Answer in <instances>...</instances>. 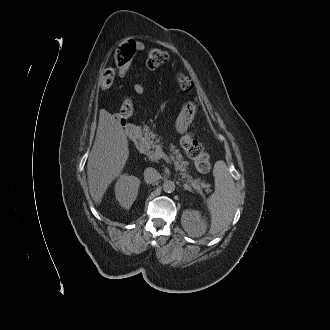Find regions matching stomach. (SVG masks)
Instances as JSON below:
<instances>
[{
	"instance_id": "stomach-1",
	"label": "stomach",
	"mask_w": 330,
	"mask_h": 330,
	"mask_svg": "<svg viewBox=\"0 0 330 330\" xmlns=\"http://www.w3.org/2000/svg\"><path fill=\"white\" fill-rule=\"evenodd\" d=\"M197 106L193 102L184 104L176 121V129L180 134L187 132L190 123L193 121Z\"/></svg>"
}]
</instances>
